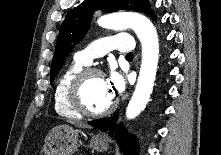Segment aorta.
<instances>
[{
    "instance_id": "obj_1",
    "label": "aorta",
    "mask_w": 221,
    "mask_h": 155,
    "mask_svg": "<svg viewBox=\"0 0 221 155\" xmlns=\"http://www.w3.org/2000/svg\"><path fill=\"white\" fill-rule=\"evenodd\" d=\"M98 25L113 30L132 28L142 45V61L135 91L126 109V117H137L146 107L153 90L158 57L159 42L152 22L139 13H123L103 16Z\"/></svg>"
}]
</instances>
